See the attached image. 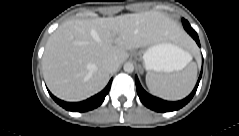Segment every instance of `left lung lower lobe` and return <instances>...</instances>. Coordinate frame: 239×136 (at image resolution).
<instances>
[{
    "label": "left lung lower lobe",
    "mask_w": 239,
    "mask_h": 136,
    "mask_svg": "<svg viewBox=\"0 0 239 136\" xmlns=\"http://www.w3.org/2000/svg\"><path fill=\"white\" fill-rule=\"evenodd\" d=\"M183 26L185 28V30L192 36V38L197 42L198 46H200V42H199V38L197 33L195 32V30H193V28L190 26L188 21L182 20ZM202 76V70H201V74L199 76V79L197 81V84L195 86V88L193 89V91L191 92V94L186 97L183 100L180 101H176V102H169V101H165L162 100L160 98L154 97L150 94H148L141 86L137 76L135 77V81H136V88H137V94L141 100V102L147 106L148 108L157 111V112H171L174 110H178L180 108H182L183 106H185L194 96L200 79Z\"/></svg>",
    "instance_id": "0a47b994"
}]
</instances>
